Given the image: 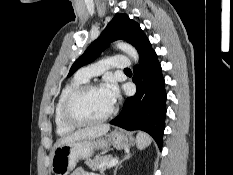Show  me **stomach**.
<instances>
[{"label":"stomach","instance_id":"obj_1","mask_svg":"<svg viewBox=\"0 0 233 175\" xmlns=\"http://www.w3.org/2000/svg\"><path fill=\"white\" fill-rule=\"evenodd\" d=\"M134 144L131 134L114 130L103 138L83 139L55 147L51 157V169L55 175H68L79 159H88L94 149H107L112 145L116 149L129 148Z\"/></svg>","mask_w":233,"mask_h":175}]
</instances>
